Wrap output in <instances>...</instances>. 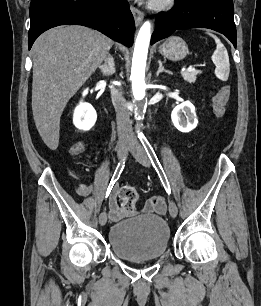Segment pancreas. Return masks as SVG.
<instances>
[{
	"label": "pancreas",
	"mask_w": 261,
	"mask_h": 306,
	"mask_svg": "<svg viewBox=\"0 0 261 306\" xmlns=\"http://www.w3.org/2000/svg\"><path fill=\"white\" fill-rule=\"evenodd\" d=\"M181 74L185 81L189 83H194L196 81V76L200 74V72L199 71H192V72L184 71Z\"/></svg>",
	"instance_id": "obj_1"
}]
</instances>
